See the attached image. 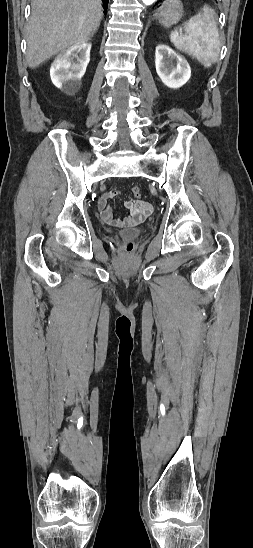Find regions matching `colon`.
Wrapping results in <instances>:
<instances>
[{"label":"colon","mask_w":253,"mask_h":548,"mask_svg":"<svg viewBox=\"0 0 253 548\" xmlns=\"http://www.w3.org/2000/svg\"><path fill=\"white\" fill-rule=\"evenodd\" d=\"M132 194L135 198H140L141 197V189L138 187V186H134L132 188ZM134 249V244L131 242V241H128L127 243H125V245L123 246V250L127 253H131Z\"/></svg>","instance_id":"colon-1"}]
</instances>
